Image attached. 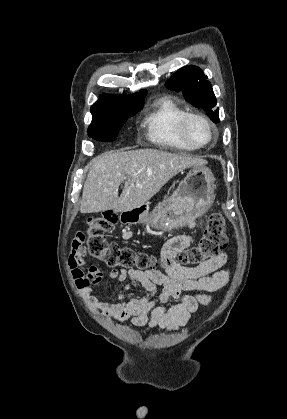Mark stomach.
<instances>
[{
    "label": "stomach",
    "mask_w": 287,
    "mask_h": 419,
    "mask_svg": "<svg viewBox=\"0 0 287 419\" xmlns=\"http://www.w3.org/2000/svg\"><path fill=\"white\" fill-rule=\"evenodd\" d=\"M214 175L206 166H194L173 194L149 212L147 205L120 213L125 225H150L162 231L192 224L204 214L214 199Z\"/></svg>",
    "instance_id": "stomach-1"
}]
</instances>
